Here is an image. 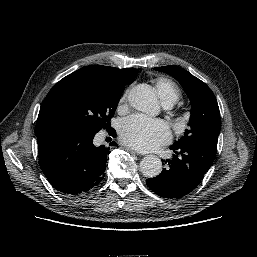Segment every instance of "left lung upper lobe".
Returning a JSON list of instances; mask_svg holds the SVG:
<instances>
[{
    "instance_id": "5c2ea615",
    "label": "left lung upper lobe",
    "mask_w": 257,
    "mask_h": 257,
    "mask_svg": "<svg viewBox=\"0 0 257 257\" xmlns=\"http://www.w3.org/2000/svg\"><path fill=\"white\" fill-rule=\"evenodd\" d=\"M155 70L168 73L177 79L188 92L192 104L188 124L190 128L173 145L202 144L216 150L221 119L212 90L200 79L178 66L156 67Z\"/></svg>"
}]
</instances>
